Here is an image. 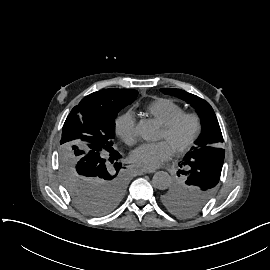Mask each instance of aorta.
Wrapping results in <instances>:
<instances>
[{
    "instance_id": "762f6f07",
    "label": "aorta",
    "mask_w": 270,
    "mask_h": 270,
    "mask_svg": "<svg viewBox=\"0 0 270 270\" xmlns=\"http://www.w3.org/2000/svg\"><path fill=\"white\" fill-rule=\"evenodd\" d=\"M153 186L159 190L167 189L171 184V177L167 172L158 171L153 176Z\"/></svg>"
}]
</instances>
